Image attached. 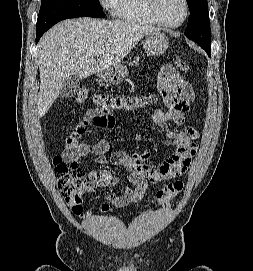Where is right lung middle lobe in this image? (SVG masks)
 <instances>
[{"label":"right lung middle lobe","instance_id":"1","mask_svg":"<svg viewBox=\"0 0 253 271\" xmlns=\"http://www.w3.org/2000/svg\"><path fill=\"white\" fill-rule=\"evenodd\" d=\"M83 16L105 17L98 0H41L37 32L47 31L61 20Z\"/></svg>","mask_w":253,"mask_h":271}]
</instances>
